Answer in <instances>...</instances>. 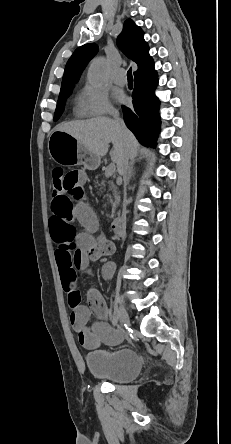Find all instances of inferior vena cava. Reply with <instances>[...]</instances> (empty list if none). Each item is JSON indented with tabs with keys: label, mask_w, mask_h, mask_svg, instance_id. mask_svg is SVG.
Segmentation results:
<instances>
[{
	"label": "inferior vena cava",
	"mask_w": 231,
	"mask_h": 444,
	"mask_svg": "<svg viewBox=\"0 0 231 444\" xmlns=\"http://www.w3.org/2000/svg\"><path fill=\"white\" fill-rule=\"evenodd\" d=\"M114 119H115V121H116V123H117V125L119 126V128H120V130L121 131H124L125 130V124H124V122H123V120L119 117V114L118 113H115L114 115ZM125 158H124V160L122 161V164L118 167V172H119V174L120 175H122L123 176V179H124V187H125V190L123 191L125 194H127L129 191L126 189V185H127V181H126V179H127V176H128V166H129V163H128V146L126 145L125 147ZM128 200H127V198H122L121 199V205L123 206L122 208H121V210L119 211L121 214H122V216L120 217L122 220V222L120 223L121 224V226H120V229L121 230H125L126 229V223L128 222V219L126 218L127 216H128V213L126 212L127 210H128ZM124 236L127 234L125 231L122 233Z\"/></svg>",
	"instance_id": "obj_1"
}]
</instances>
